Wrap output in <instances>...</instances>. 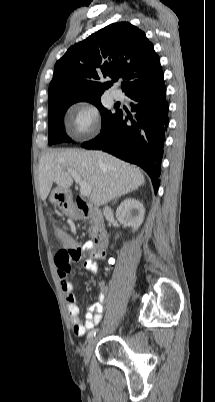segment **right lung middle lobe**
I'll return each mask as SVG.
<instances>
[{"instance_id":"1","label":"right lung middle lobe","mask_w":215,"mask_h":402,"mask_svg":"<svg viewBox=\"0 0 215 402\" xmlns=\"http://www.w3.org/2000/svg\"><path fill=\"white\" fill-rule=\"evenodd\" d=\"M100 97L101 95L87 98L62 97L48 103V144L71 141L64 130V114L69 106L79 101H87L94 104L102 116L101 129L107 125L114 118L117 111L116 113H111V111L104 108L100 102Z\"/></svg>"}]
</instances>
